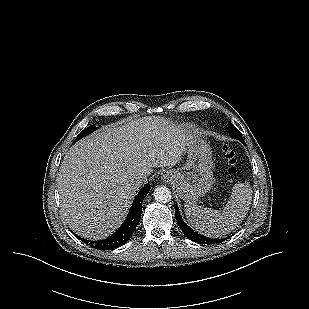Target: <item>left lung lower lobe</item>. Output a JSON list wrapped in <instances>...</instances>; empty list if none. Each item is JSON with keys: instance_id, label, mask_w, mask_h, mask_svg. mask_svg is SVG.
Wrapping results in <instances>:
<instances>
[{"instance_id": "left-lung-lower-lobe-1", "label": "left lung lower lobe", "mask_w": 309, "mask_h": 309, "mask_svg": "<svg viewBox=\"0 0 309 309\" xmlns=\"http://www.w3.org/2000/svg\"><path fill=\"white\" fill-rule=\"evenodd\" d=\"M243 144H245L244 140H241ZM175 216L176 220L181 228V230L184 232V234L190 239L191 241L200 243V244H215V243H220L226 240L227 238H222V239H212L209 237H205L203 235H200L196 232H194L181 218L178 206L176 205L175 208Z\"/></svg>"}]
</instances>
